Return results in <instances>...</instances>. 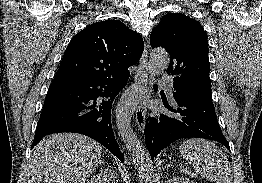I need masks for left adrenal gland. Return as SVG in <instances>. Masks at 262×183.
Here are the masks:
<instances>
[{"label": "left adrenal gland", "mask_w": 262, "mask_h": 183, "mask_svg": "<svg viewBox=\"0 0 262 183\" xmlns=\"http://www.w3.org/2000/svg\"><path fill=\"white\" fill-rule=\"evenodd\" d=\"M168 166H172V164H168Z\"/></svg>", "instance_id": "1"}]
</instances>
